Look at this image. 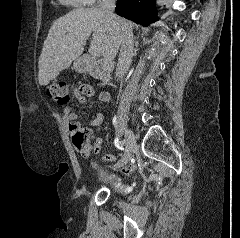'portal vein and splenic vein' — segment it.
<instances>
[{
    "label": "portal vein and splenic vein",
    "instance_id": "1",
    "mask_svg": "<svg viewBox=\"0 0 240 238\" xmlns=\"http://www.w3.org/2000/svg\"><path fill=\"white\" fill-rule=\"evenodd\" d=\"M91 55L98 56V53L95 51L90 50ZM113 66V63L110 61H104L102 64L103 70H109Z\"/></svg>",
    "mask_w": 240,
    "mask_h": 238
}]
</instances>
